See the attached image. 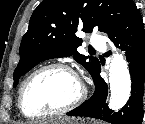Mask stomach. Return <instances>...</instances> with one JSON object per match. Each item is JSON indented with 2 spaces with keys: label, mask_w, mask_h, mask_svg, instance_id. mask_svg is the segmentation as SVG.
Segmentation results:
<instances>
[{
  "label": "stomach",
  "mask_w": 145,
  "mask_h": 124,
  "mask_svg": "<svg viewBox=\"0 0 145 124\" xmlns=\"http://www.w3.org/2000/svg\"><path fill=\"white\" fill-rule=\"evenodd\" d=\"M43 124H100V123H95V121H85L82 119H70L66 117H60L46 121Z\"/></svg>",
  "instance_id": "0dacf381"
}]
</instances>
